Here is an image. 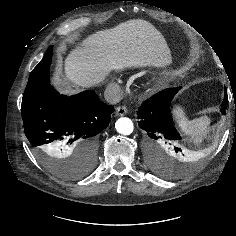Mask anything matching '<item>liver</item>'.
<instances>
[{"label":"liver","mask_w":236,"mask_h":236,"mask_svg":"<svg viewBox=\"0 0 236 236\" xmlns=\"http://www.w3.org/2000/svg\"><path fill=\"white\" fill-rule=\"evenodd\" d=\"M70 51L64 62V77L58 84L66 91L87 88L101 82L110 70L171 62L162 34L144 20H129L98 31Z\"/></svg>","instance_id":"obj_1"}]
</instances>
